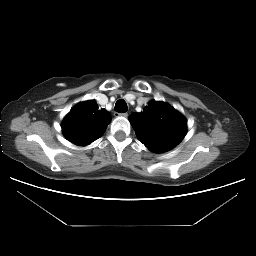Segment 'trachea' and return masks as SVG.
<instances>
[{
    "instance_id": "1",
    "label": "trachea",
    "mask_w": 256,
    "mask_h": 256,
    "mask_svg": "<svg viewBox=\"0 0 256 256\" xmlns=\"http://www.w3.org/2000/svg\"><path fill=\"white\" fill-rule=\"evenodd\" d=\"M115 111L118 113H125L128 111L127 103L123 99H119L115 104Z\"/></svg>"
}]
</instances>
